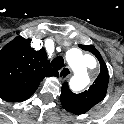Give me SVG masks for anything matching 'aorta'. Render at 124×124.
Wrapping results in <instances>:
<instances>
[{"label":"aorta","instance_id":"aorta-1","mask_svg":"<svg viewBox=\"0 0 124 124\" xmlns=\"http://www.w3.org/2000/svg\"><path fill=\"white\" fill-rule=\"evenodd\" d=\"M66 61L74 71L70 79V85L74 91H80L87 87L90 78L86 69L85 56L79 49H70L66 52Z\"/></svg>","mask_w":124,"mask_h":124}]
</instances>
